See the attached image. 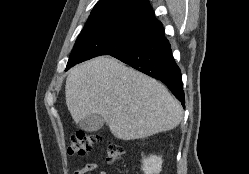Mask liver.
<instances>
[{
  "mask_svg": "<svg viewBox=\"0 0 249 174\" xmlns=\"http://www.w3.org/2000/svg\"><path fill=\"white\" fill-rule=\"evenodd\" d=\"M65 95L75 123L98 114L122 140L172 130L183 115L181 105L163 84L110 57L100 56L72 68Z\"/></svg>",
  "mask_w": 249,
  "mask_h": 174,
  "instance_id": "liver-1",
  "label": "liver"
}]
</instances>
